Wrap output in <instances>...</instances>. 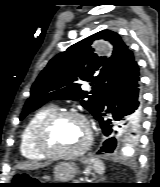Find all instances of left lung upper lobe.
<instances>
[{"mask_svg":"<svg viewBox=\"0 0 160 187\" xmlns=\"http://www.w3.org/2000/svg\"><path fill=\"white\" fill-rule=\"evenodd\" d=\"M97 39L113 45L109 58H99L93 52L90 45ZM134 61L132 51L116 32L103 30L77 42L52 58L39 74L20 120L53 99H80L81 105L95 118L107 92L125 78ZM84 81L90 82V92L81 89ZM121 127L137 137L139 124L123 122Z\"/></svg>","mask_w":160,"mask_h":187,"instance_id":"5c2ea615","label":"left lung upper lobe"}]
</instances>
